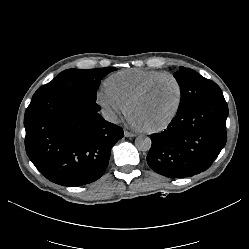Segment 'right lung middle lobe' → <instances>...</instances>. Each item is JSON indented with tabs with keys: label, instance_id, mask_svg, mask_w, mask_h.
Masks as SVG:
<instances>
[{
	"label": "right lung middle lobe",
	"instance_id": "right-lung-middle-lobe-1",
	"mask_svg": "<svg viewBox=\"0 0 249 249\" xmlns=\"http://www.w3.org/2000/svg\"><path fill=\"white\" fill-rule=\"evenodd\" d=\"M116 69L114 67H106L87 70H65L51 82L40 87L32 99L42 95L70 92L79 94L90 102H96L97 89L101 79Z\"/></svg>",
	"mask_w": 249,
	"mask_h": 249
}]
</instances>
